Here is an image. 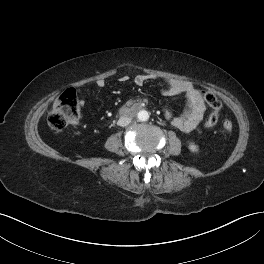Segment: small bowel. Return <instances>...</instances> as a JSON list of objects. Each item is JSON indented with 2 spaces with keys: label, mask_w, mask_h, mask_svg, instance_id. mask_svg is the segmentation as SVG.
<instances>
[{
  "label": "small bowel",
  "mask_w": 264,
  "mask_h": 264,
  "mask_svg": "<svg viewBox=\"0 0 264 264\" xmlns=\"http://www.w3.org/2000/svg\"><path fill=\"white\" fill-rule=\"evenodd\" d=\"M151 79H153L151 75L137 74L133 78V82L137 86H142ZM128 81V76H122L119 78V82L121 83H126ZM96 85L99 89H103L106 86V82L105 80L100 79L96 82ZM162 93L168 96L178 94L185 95L186 108L181 115L175 116L169 110H165L164 114L171 124L178 130L185 133L194 131L203 120L206 110L202 92L197 89L192 82L178 79H167L165 81V86L162 88Z\"/></svg>",
  "instance_id": "c3829d8e"
}]
</instances>
